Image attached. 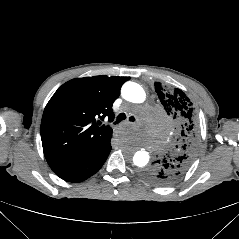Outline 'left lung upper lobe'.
I'll use <instances>...</instances> for the list:
<instances>
[{"label":"left lung upper lobe","instance_id":"left-lung-upper-lobe-1","mask_svg":"<svg viewBox=\"0 0 239 239\" xmlns=\"http://www.w3.org/2000/svg\"><path fill=\"white\" fill-rule=\"evenodd\" d=\"M155 91L179 133L172 151L142 175L153 184L170 185L184 176L194 160L199 145L198 117L193 103L182 90L155 82Z\"/></svg>","mask_w":239,"mask_h":239}]
</instances>
